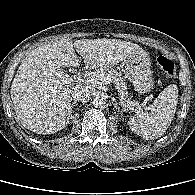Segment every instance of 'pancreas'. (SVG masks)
<instances>
[{"mask_svg":"<svg viewBox=\"0 0 195 195\" xmlns=\"http://www.w3.org/2000/svg\"><path fill=\"white\" fill-rule=\"evenodd\" d=\"M101 74H104L111 79L113 85L118 90L119 100L124 110L126 111L139 110V107H141V105H139L137 101L128 98L127 83L120 72L111 68L99 69L96 70L95 72L90 73L89 77L100 76Z\"/></svg>","mask_w":195,"mask_h":195,"instance_id":"obj_1","label":"pancreas"}]
</instances>
